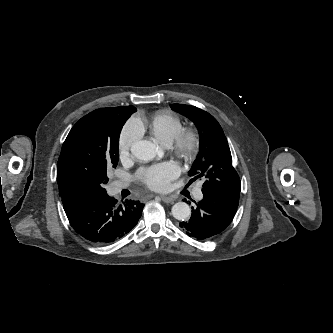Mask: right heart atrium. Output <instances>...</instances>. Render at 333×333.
Masks as SVG:
<instances>
[{
    "mask_svg": "<svg viewBox=\"0 0 333 333\" xmlns=\"http://www.w3.org/2000/svg\"><path fill=\"white\" fill-rule=\"evenodd\" d=\"M142 135V128L136 118H130L124 125L118 139V151L121 158L129 155L132 146Z\"/></svg>",
    "mask_w": 333,
    "mask_h": 333,
    "instance_id": "1",
    "label": "right heart atrium"
}]
</instances>
